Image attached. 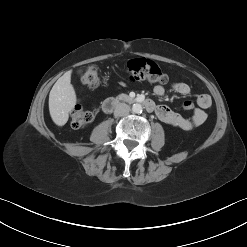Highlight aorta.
<instances>
[{"mask_svg":"<svg viewBox=\"0 0 247 247\" xmlns=\"http://www.w3.org/2000/svg\"><path fill=\"white\" fill-rule=\"evenodd\" d=\"M132 112L133 113H141L142 112V105L139 103H135L132 105Z\"/></svg>","mask_w":247,"mask_h":247,"instance_id":"762f6f07","label":"aorta"}]
</instances>
